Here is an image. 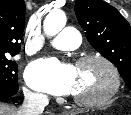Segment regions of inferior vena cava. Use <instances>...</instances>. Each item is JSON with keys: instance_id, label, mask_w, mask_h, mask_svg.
<instances>
[{"instance_id": "1", "label": "inferior vena cava", "mask_w": 131, "mask_h": 115, "mask_svg": "<svg viewBox=\"0 0 131 115\" xmlns=\"http://www.w3.org/2000/svg\"><path fill=\"white\" fill-rule=\"evenodd\" d=\"M48 103L46 95L25 91L24 102L18 110V115H41Z\"/></svg>"}]
</instances>
